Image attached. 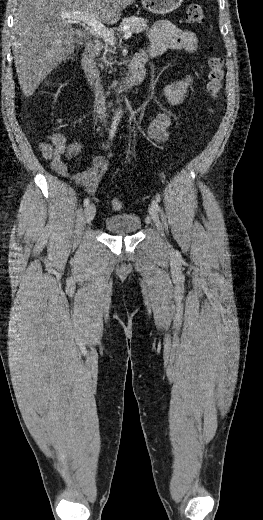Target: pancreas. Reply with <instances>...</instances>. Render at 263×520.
Segmentation results:
<instances>
[{
    "label": "pancreas",
    "instance_id": "cf45deb5",
    "mask_svg": "<svg viewBox=\"0 0 263 520\" xmlns=\"http://www.w3.org/2000/svg\"><path fill=\"white\" fill-rule=\"evenodd\" d=\"M147 28H148V26H147L146 19H144L142 17H138V16H131L128 18H124L122 20V22L119 25L118 32L131 31L134 33H141L142 31L146 30ZM114 53H115L114 47L112 48V47H109L108 45L104 46V53L102 56V60L106 65L112 64V62H111L112 58L110 57L107 59L106 56L108 54H114Z\"/></svg>",
    "mask_w": 263,
    "mask_h": 520
}]
</instances>
